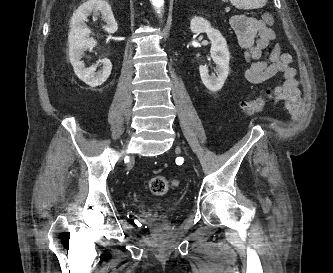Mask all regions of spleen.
<instances>
[{
	"label": "spleen",
	"mask_w": 333,
	"mask_h": 273,
	"mask_svg": "<svg viewBox=\"0 0 333 273\" xmlns=\"http://www.w3.org/2000/svg\"><path fill=\"white\" fill-rule=\"evenodd\" d=\"M231 4L238 9H258L263 7L267 0H230Z\"/></svg>",
	"instance_id": "obj_1"
}]
</instances>
